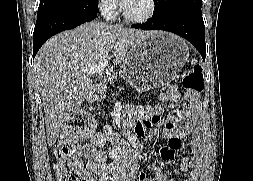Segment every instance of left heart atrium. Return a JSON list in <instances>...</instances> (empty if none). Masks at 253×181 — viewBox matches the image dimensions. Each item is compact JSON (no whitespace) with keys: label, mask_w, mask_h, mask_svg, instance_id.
<instances>
[{"label":"left heart atrium","mask_w":253,"mask_h":181,"mask_svg":"<svg viewBox=\"0 0 253 181\" xmlns=\"http://www.w3.org/2000/svg\"><path fill=\"white\" fill-rule=\"evenodd\" d=\"M132 0H120L121 6L125 9L129 6Z\"/></svg>","instance_id":"left-heart-atrium-1"}]
</instances>
